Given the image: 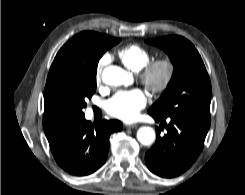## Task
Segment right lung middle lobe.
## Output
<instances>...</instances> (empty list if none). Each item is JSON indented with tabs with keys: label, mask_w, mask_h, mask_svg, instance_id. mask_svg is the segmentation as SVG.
Wrapping results in <instances>:
<instances>
[{
	"label": "right lung middle lobe",
	"mask_w": 245,
	"mask_h": 195,
	"mask_svg": "<svg viewBox=\"0 0 245 195\" xmlns=\"http://www.w3.org/2000/svg\"><path fill=\"white\" fill-rule=\"evenodd\" d=\"M120 39L106 37L95 44L77 43L63 49L50 76V87L75 120L84 117L85 100L96 91V72L101 56Z\"/></svg>",
	"instance_id": "obj_1"
}]
</instances>
